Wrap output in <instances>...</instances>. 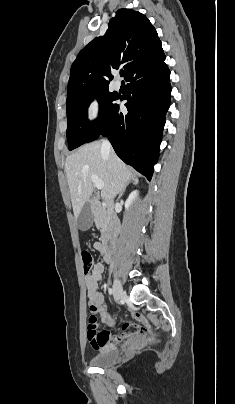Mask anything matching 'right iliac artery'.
Returning <instances> with one entry per match:
<instances>
[{
    "label": "right iliac artery",
    "instance_id": "obj_1",
    "mask_svg": "<svg viewBox=\"0 0 235 404\" xmlns=\"http://www.w3.org/2000/svg\"><path fill=\"white\" fill-rule=\"evenodd\" d=\"M109 294L112 295L113 294V290L111 288H109Z\"/></svg>",
    "mask_w": 235,
    "mask_h": 404
}]
</instances>
